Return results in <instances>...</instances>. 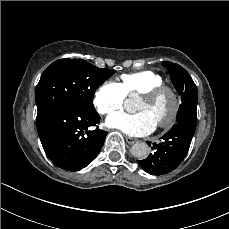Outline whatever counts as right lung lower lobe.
Listing matches in <instances>:
<instances>
[{"mask_svg": "<svg viewBox=\"0 0 229 229\" xmlns=\"http://www.w3.org/2000/svg\"><path fill=\"white\" fill-rule=\"evenodd\" d=\"M97 112L65 105L37 124L38 134L49 159L58 167L77 171L90 164L102 148L106 132L96 128Z\"/></svg>", "mask_w": 229, "mask_h": 229, "instance_id": "1", "label": "right lung lower lobe"}]
</instances>
